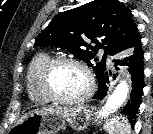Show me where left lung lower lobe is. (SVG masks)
Masks as SVG:
<instances>
[{
    "mask_svg": "<svg viewBox=\"0 0 153 134\" xmlns=\"http://www.w3.org/2000/svg\"><path fill=\"white\" fill-rule=\"evenodd\" d=\"M144 53L142 51L141 42L136 46L131 55L122 60H113L115 62V67L118 70L117 65H127L129 67V72L132 77V91L130 94V100L122 110V114L128 116V119L132 126L135 125L136 115L141 103L142 90H143V79H144V67H143ZM111 74V73H110ZM108 72L105 70L104 74L98 80L99 89L95 94L94 98L103 99L108 91L109 86V76Z\"/></svg>",
    "mask_w": 153,
    "mask_h": 134,
    "instance_id": "0a47b994",
    "label": "left lung lower lobe"
}]
</instances>
